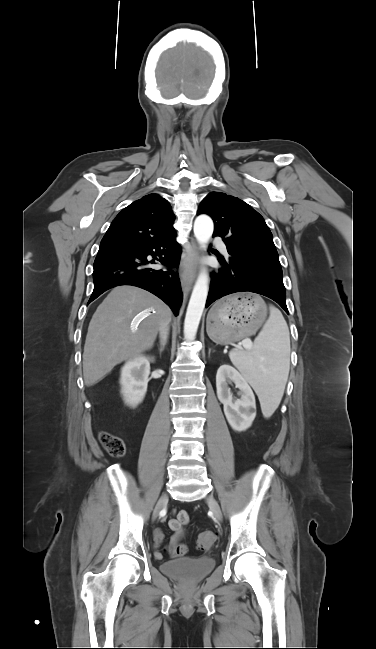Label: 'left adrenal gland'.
I'll return each mask as SVG.
<instances>
[{
  "label": "left adrenal gland",
  "mask_w": 376,
  "mask_h": 649,
  "mask_svg": "<svg viewBox=\"0 0 376 649\" xmlns=\"http://www.w3.org/2000/svg\"><path fill=\"white\" fill-rule=\"evenodd\" d=\"M210 353H211V349H209V352H208L209 356H210Z\"/></svg>",
  "instance_id": "1"
}]
</instances>
